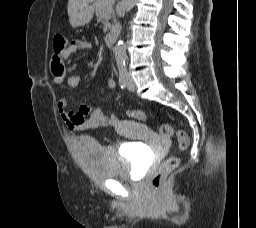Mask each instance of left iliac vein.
I'll list each match as a JSON object with an SVG mask.
<instances>
[{
	"mask_svg": "<svg viewBox=\"0 0 256 228\" xmlns=\"http://www.w3.org/2000/svg\"><path fill=\"white\" fill-rule=\"evenodd\" d=\"M127 88L129 91H134L136 89V84L131 76V74H127Z\"/></svg>",
	"mask_w": 256,
	"mask_h": 228,
	"instance_id": "left-iliac-vein-1",
	"label": "left iliac vein"
}]
</instances>
